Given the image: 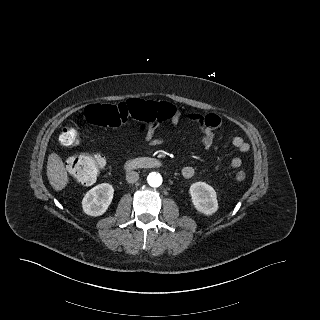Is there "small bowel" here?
<instances>
[{"label":"small bowel","mask_w":320,"mask_h":320,"mask_svg":"<svg viewBox=\"0 0 320 320\" xmlns=\"http://www.w3.org/2000/svg\"><path fill=\"white\" fill-rule=\"evenodd\" d=\"M172 106V105H171ZM173 107V113L169 117L172 124H177L180 120L181 113L180 111ZM187 119L198 123L202 129V145L205 148H209L216 137L215 129H217L220 126V119L216 116L209 115V116H203L199 113H189L187 114ZM158 128L157 123H144L141 122L139 131L140 134L143 136L144 142L148 146H155L162 142V139L158 138L156 136V131ZM232 144L234 148L239 151L240 153H247L250 149V145L241 137L236 136L232 140ZM242 165V160L239 157H234L230 161V166L233 169H237ZM183 177L185 178H191L195 174V168L193 166H185L181 171Z\"/></svg>","instance_id":"c3829d8e"}]
</instances>
